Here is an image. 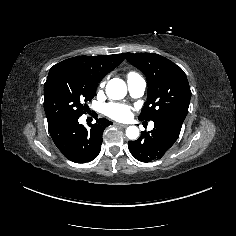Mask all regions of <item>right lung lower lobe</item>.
<instances>
[{
	"label": "right lung lower lobe",
	"mask_w": 236,
	"mask_h": 236,
	"mask_svg": "<svg viewBox=\"0 0 236 236\" xmlns=\"http://www.w3.org/2000/svg\"><path fill=\"white\" fill-rule=\"evenodd\" d=\"M79 117L59 120L49 124V132L60 152L70 161L85 163L95 159L102 144L103 130L112 124L105 118L86 128L78 122Z\"/></svg>",
	"instance_id": "obj_1"
}]
</instances>
